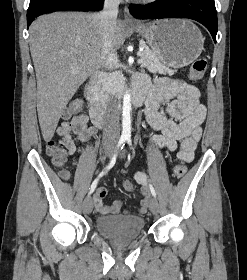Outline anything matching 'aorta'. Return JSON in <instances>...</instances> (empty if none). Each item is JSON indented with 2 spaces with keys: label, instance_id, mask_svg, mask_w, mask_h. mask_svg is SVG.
Wrapping results in <instances>:
<instances>
[{
  "label": "aorta",
  "instance_id": "aorta-1",
  "mask_svg": "<svg viewBox=\"0 0 247 280\" xmlns=\"http://www.w3.org/2000/svg\"><path fill=\"white\" fill-rule=\"evenodd\" d=\"M131 96L126 92L123 96L122 106V135L129 136L131 134Z\"/></svg>",
  "mask_w": 247,
  "mask_h": 280
}]
</instances>
